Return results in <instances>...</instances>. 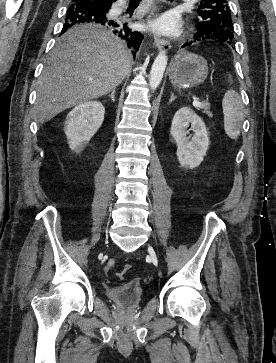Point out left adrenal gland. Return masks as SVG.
Instances as JSON below:
<instances>
[{
	"label": "left adrenal gland",
	"mask_w": 276,
	"mask_h": 363,
	"mask_svg": "<svg viewBox=\"0 0 276 363\" xmlns=\"http://www.w3.org/2000/svg\"><path fill=\"white\" fill-rule=\"evenodd\" d=\"M176 99V96H174V94L172 93L171 94V98L169 100V103H171L172 101H174Z\"/></svg>",
	"instance_id": "obj_1"
}]
</instances>
